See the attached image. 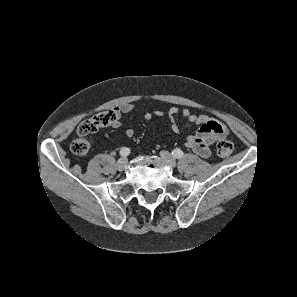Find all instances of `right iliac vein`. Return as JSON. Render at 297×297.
<instances>
[{
  "instance_id": "63e3f726",
  "label": "right iliac vein",
  "mask_w": 297,
  "mask_h": 297,
  "mask_svg": "<svg viewBox=\"0 0 297 297\" xmlns=\"http://www.w3.org/2000/svg\"><path fill=\"white\" fill-rule=\"evenodd\" d=\"M127 158L123 157V158H120L118 161H117V164H116V167L119 171H123L124 168L127 166Z\"/></svg>"
}]
</instances>
